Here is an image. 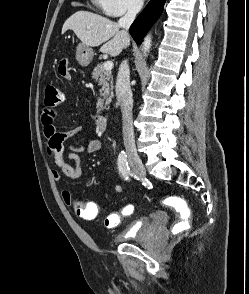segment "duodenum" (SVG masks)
Masks as SVG:
<instances>
[{"instance_id":"410a0bca","label":"duodenum","mask_w":249,"mask_h":294,"mask_svg":"<svg viewBox=\"0 0 249 294\" xmlns=\"http://www.w3.org/2000/svg\"><path fill=\"white\" fill-rule=\"evenodd\" d=\"M93 125L99 131H105L107 128V118L103 115H96L93 118Z\"/></svg>"}]
</instances>
